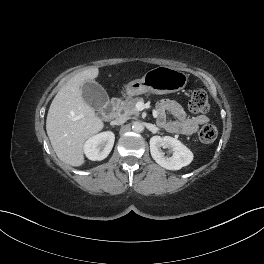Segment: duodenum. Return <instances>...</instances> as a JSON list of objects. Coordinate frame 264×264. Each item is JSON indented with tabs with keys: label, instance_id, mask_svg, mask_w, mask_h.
I'll return each instance as SVG.
<instances>
[{
	"label": "duodenum",
	"instance_id": "1",
	"mask_svg": "<svg viewBox=\"0 0 264 264\" xmlns=\"http://www.w3.org/2000/svg\"><path fill=\"white\" fill-rule=\"evenodd\" d=\"M119 99L117 97L113 98L110 104L107 106L103 113V118L105 120H111L116 117L118 109Z\"/></svg>",
	"mask_w": 264,
	"mask_h": 264
}]
</instances>
